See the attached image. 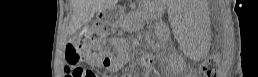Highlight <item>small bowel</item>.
<instances>
[{
  "label": "small bowel",
  "mask_w": 258,
  "mask_h": 77,
  "mask_svg": "<svg viewBox=\"0 0 258 77\" xmlns=\"http://www.w3.org/2000/svg\"><path fill=\"white\" fill-rule=\"evenodd\" d=\"M81 49L84 60L87 64L91 66H102L109 71H113L115 69V60L111 53H91L84 45H82ZM92 75L93 73L87 72V77H94Z\"/></svg>",
  "instance_id": "1"
}]
</instances>
